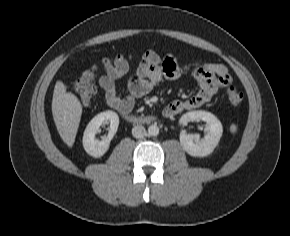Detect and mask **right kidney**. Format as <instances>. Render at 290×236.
I'll return each instance as SVG.
<instances>
[{
	"label": "right kidney",
	"instance_id": "obj_1",
	"mask_svg": "<svg viewBox=\"0 0 290 236\" xmlns=\"http://www.w3.org/2000/svg\"><path fill=\"white\" fill-rule=\"evenodd\" d=\"M105 123H110V128L107 136H104L101 141L95 138V135L100 131V126ZM119 125V117L114 111L108 110L96 115L87 125L83 135V147L85 151L92 157L99 158L103 156L109 149L110 142L117 132Z\"/></svg>",
	"mask_w": 290,
	"mask_h": 236
}]
</instances>
